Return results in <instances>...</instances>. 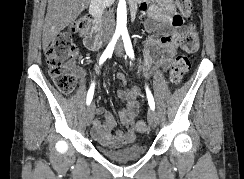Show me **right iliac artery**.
I'll use <instances>...</instances> for the list:
<instances>
[{
	"label": "right iliac artery",
	"instance_id": "82829eb1",
	"mask_svg": "<svg viewBox=\"0 0 244 179\" xmlns=\"http://www.w3.org/2000/svg\"><path fill=\"white\" fill-rule=\"evenodd\" d=\"M120 34H121L120 32H116L114 34L111 42L108 44L107 48L105 49L102 56L100 57L99 65H101L107 58H111L115 44H116ZM94 86H95L94 83H92L90 86V89L87 93V99H86L87 105H89L92 101L93 94H94Z\"/></svg>",
	"mask_w": 244,
	"mask_h": 179
}]
</instances>
